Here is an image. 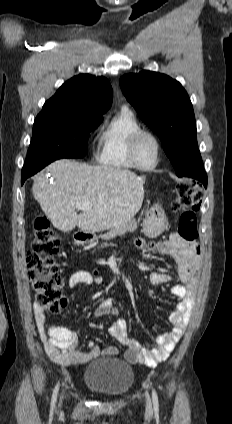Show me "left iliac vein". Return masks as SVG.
Listing matches in <instances>:
<instances>
[{"instance_id":"1","label":"left iliac vein","mask_w":232,"mask_h":424,"mask_svg":"<svg viewBox=\"0 0 232 424\" xmlns=\"http://www.w3.org/2000/svg\"><path fill=\"white\" fill-rule=\"evenodd\" d=\"M146 411L148 413H151L152 412L151 401H150V398H149V395L148 394H146Z\"/></svg>"}]
</instances>
